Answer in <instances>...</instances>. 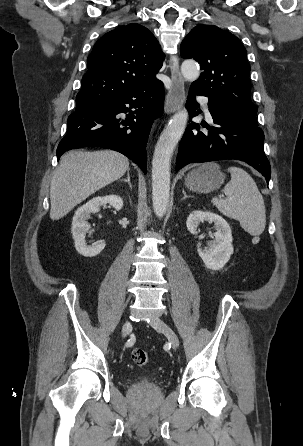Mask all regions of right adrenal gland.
I'll use <instances>...</instances> for the list:
<instances>
[{"label": "right adrenal gland", "mask_w": 303, "mask_h": 446, "mask_svg": "<svg viewBox=\"0 0 303 446\" xmlns=\"http://www.w3.org/2000/svg\"><path fill=\"white\" fill-rule=\"evenodd\" d=\"M121 181L128 183V185L132 189V184L130 182V171H129V169L127 170V178L126 179H121Z\"/></svg>", "instance_id": "2a0ac1e0"}]
</instances>
